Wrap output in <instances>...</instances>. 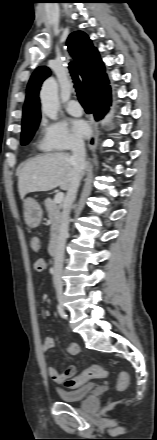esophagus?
Returning a JSON list of instances; mask_svg holds the SVG:
<instances>
[{"label":"esophagus","instance_id":"obj_1","mask_svg":"<svg viewBox=\"0 0 157 440\" xmlns=\"http://www.w3.org/2000/svg\"><path fill=\"white\" fill-rule=\"evenodd\" d=\"M91 129H92V135L88 140V147L90 150H94L97 146L98 141V129L94 121H91Z\"/></svg>","mask_w":157,"mask_h":440}]
</instances>
